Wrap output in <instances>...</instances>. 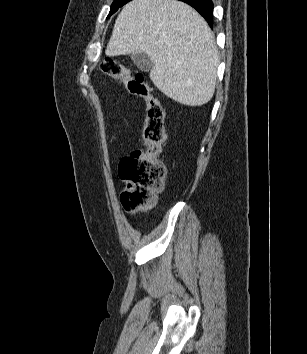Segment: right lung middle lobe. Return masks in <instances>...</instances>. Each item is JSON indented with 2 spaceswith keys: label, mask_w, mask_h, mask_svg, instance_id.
Returning <instances> with one entry per match:
<instances>
[{
  "label": "right lung middle lobe",
  "mask_w": 307,
  "mask_h": 354,
  "mask_svg": "<svg viewBox=\"0 0 307 354\" xmlns=\"http://www.w3.org/2000/svg\"><path fill=\"white\" fill-rule=\"evenodd\" d=\"M129 1L131 0H114V2L111 5V10L107 18H109V16H111L114 12H116L118 8L122 7L124 4H126Z\"/></svg>",
  "instance_id": "1"
}]
</instances>
